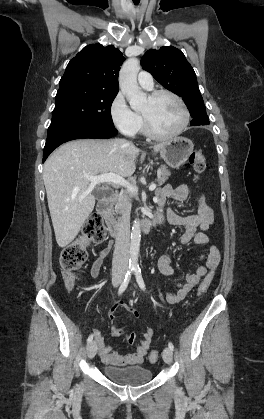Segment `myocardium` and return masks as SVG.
<instances>
[{"label": "myocardium", "mask_w": 264, "mask_h": 419, "mask_svg": "<svg viewBox=\"0 0 264 419\" xmlns=\"http://www.w3.org/2000/svg\"><path fill=\"white\" fill-rule=\"evenodd\" d=\"M163 95L171 96L178 102L183 113V121L180 127L175 132L171 134H160L154 129L149 116L146 113L142 112V117L144 120V127H145V131L147 135L151 139L157 140V141H169L178 137L180 134H182L185 131L190 121V113H189L188 107L186 103L184 102V100L177 93L171 90H167V89H158V90L152 91L149 94V99L155 100Z\"/></svg>", "instance_id": "f54148a6"}]
</instances>
